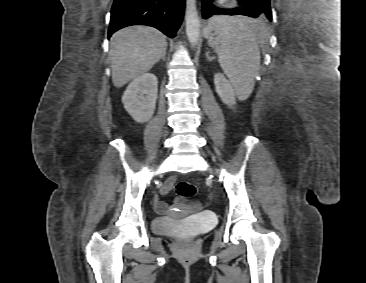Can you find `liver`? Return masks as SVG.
<instances>
[{
	"mask_svg": "<svg viewBox=\"0 0 366 283\" xmlns=\"http://www.w3.org/2000/svg\"><path fill=\"white\" fill-rule=\"evenodd\" d=\"M166 48L165 36L147 25L129 26L115 32L109 53L114 86L123 87L149 71Z\"/></svg>",
	"mask_w": 366,
	"mask_h": 283,
	"instance_id": "obj_1",
	"label": "liver"
}]
</instances>
